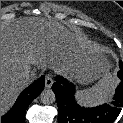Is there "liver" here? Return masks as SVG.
I'll return each mask as SVG.
<instances>
[{"instance_id": "obj_1", "label": "liver", "mask_w": 123, "mask_h": 123, "mask_svg": "<svg viewBox=\"0 0 123 123\" xmlns=\"http://www.w3.org/2000/svg\"><path fill=\"white\" fill-rule=\"evenodd\" d=\"M98 49L55 20L26 17L1 26V116L32 81L24 79L33 67L70 74L91 82L98 69Z\"/></svg>"}]
</instances>
